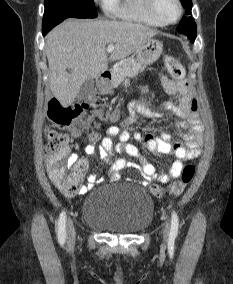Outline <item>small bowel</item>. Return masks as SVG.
<instances>
[{
    "label": "small bowel",
    "mask_w": 233,
    "mask_h": 284,
    "mask_svg": "<svg viewBox=\"0 0 233 284\" xmlns=\"http://www.w3.org/2000/svg\"><path fill=\"white\" fill-rule=\"evenodd\" d=\"M161 85L168 96L178 97L177 103L166 102L164 108L172 112L175 116L182 119L180 127L187 129V132L182 135L185 143L171 142V136L167 132H162L159 137L153 135L143 136L139 132H135L133 138L136 141H143L146 146L154 153L164 155H175L176 160L171 165L170 169L165 172H157L155 167L144 158L140 157L138 148L129 143L131 134L122 130L116 125L110 126L106 130V135L98 146L100 158L109 165L110 178L112 181L119 179L120 173L131 164L125 158L113 159V154H126L140 159L137 170L142 176V185L147 186L151 182L167 183L173 178L181 175L184 161L193 160L201 155L203 146V126L198 113V103L193 96L189 84L185 80H172L166 76H160ZM132 115L140 113L148 117H161L163 114L150 109L146 103L133 102L130 105ZM73 138H78L80 132L75 130L72 133ZM113 138H118V143L114 144ZM96 147L92 144L85 148L87 154L91 155L95 152ZM68 162L71 167L80 168L85 174L89 168V161L85 158H79L72 154ZM47 175L50 181L56 186L52 169L47 161H45ZM102 179L91 175L88 177V183L82 186L79 190L80 194H85L93 189L95 184L101 182Z\"/></svg>",
    "instance_id": "small-bowel-1"
}]
</instances>
